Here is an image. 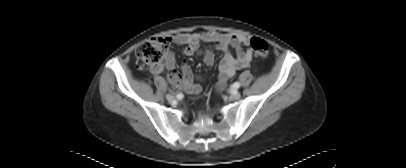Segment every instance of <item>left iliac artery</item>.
<instances>
[{"label": "left iliac artery", "instance_id": "left-iliac-artery-1", "mask_svg": "<svg viewBox=\"0 0 406 168\" xmlns=\"http://www.w3.org/2000/svg\"><path fill=\"white\" fill-rule=\"evenodd\" d=\"M240 87V83H238V82H235L233 85H232V88L233 89H238Z\"/></svg>", "mask_w": 406, "mask_h": 168}]
</instances>
